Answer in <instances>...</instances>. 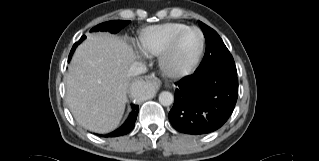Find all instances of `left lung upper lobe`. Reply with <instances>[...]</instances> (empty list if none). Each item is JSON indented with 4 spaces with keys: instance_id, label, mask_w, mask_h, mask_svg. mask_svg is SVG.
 I'll return each instance as SVG.
<instances>
[{
    "instance_id": "obj_1",
    "label": "left lung upper lobe",
    "mask_w": 319,
    "mask_h": 161,
    "mask_svg": "<svg viewBox=\"0 0 319 161\" xmlns=\"http://www.w3.org/2000/svg\"><path fill=\"white\" fill-rule=\"evenodd\" d=\"M199 25L206 39V52L202 63L194 74L207 71H225L237 74L234 59L218 33L200 21Z\"/></svg>"
}]
</instances>
